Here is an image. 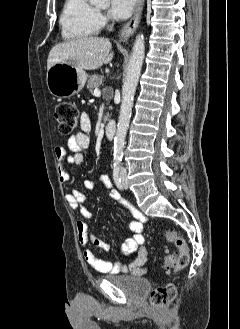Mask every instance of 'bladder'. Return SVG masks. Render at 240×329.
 <instances>
[{
    "label": "bladder",
    "mask_w": 240,
    "mask_h": 329,
    "mask_svg": "<svg viewBox=\"0 0 240 329\" xmlns=\"http://www.w3.org/2000/svg\"><path fill=\"white\" fill-rule=\"evenodd\" d=\"M109 280L132 297L143 296L150 290L149 280L141 276L116 275Z\"/></svg>",
    "instance_id": "31cf9c89"
}]
</instances>
